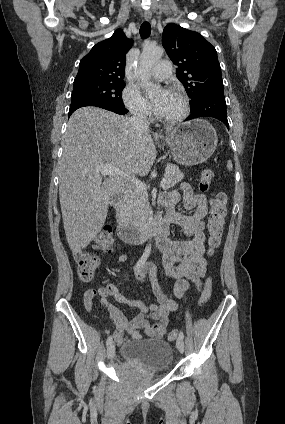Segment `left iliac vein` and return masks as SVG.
<instances>
[{"label":"left iliac vein","mask_w":285,"mask_h":424,"mask_svg":"<svg viewBox=\"0 0 285 424\" xmlns=\"http://www.w3.org/2000/svg\"><path fill=\"white\" fill-rule=\"evenodd\" d=\"M176 347L180 352L184 351V341L180 337L177 339Z\"/></svg>","instance_id":"1"}]
</instances>
